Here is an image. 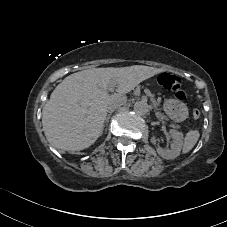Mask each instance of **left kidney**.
Segmentation results:
<instances>
[{
	"instance_id": "1",
	"label": "left kidney",
	"mask_w": 227,
	"mask_h": 227,
	"mask_svg": "<svg viewBox=\"0 0 227 227\" xmlns=\"http://www.w3.org/2000/svg\"><path fill=\"white\" fill-rule=\"evenodd\" d=\"M169 134L171 135L172 140L170 148L167 150L157 149V152L161 156V158L166 160L175 159L179 155L183 141V135L181 132H178L176 130H170ZM150 142L152 144H156L155 136H152L150 138Z\"/></svg>"
}]
</instances>
